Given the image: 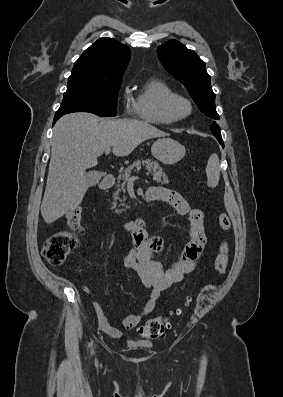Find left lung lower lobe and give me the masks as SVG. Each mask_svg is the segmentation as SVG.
Segmentation results:
<instances>
[{
    "label": "left lung lower lobe",
    "instance_id": "obj_1",
    "mask_svg": "<svg viewBox=\"0 0 283 397\" xmlns=\"http://www.w3.org/2000/svg\"><path fill=\"white\" fill-rule=\"evenodd\" d=\"M215 137H216V139L218 140V142L222 145V147L224 148V142H223V140H222V137L221 136H218V135H214Z\"/></svg>",
    "mask_w": 283,
    "mask_h": 397
}]
</instances>
